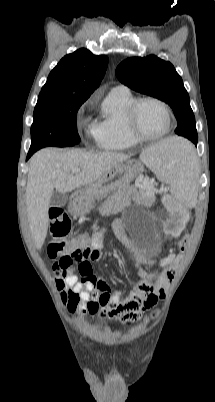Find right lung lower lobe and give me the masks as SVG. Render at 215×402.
I'll use <instances>...</instances> for the list:
<instances>
[{"mask_svg":"<svg viewBox=\"0 0 215 402\" xmlns=\"http://www.w3.org/2000/svg\"><path fill=\"white\" fill-rule=\"evenodd\" d=\"M32 154H33V153L28 152L27 159H28Z\"/></svg>","mask_w":215,"mask_h":402,"instance_id":"right-lung-lower-lobe-1","label":"right lung lower lobe"}]
</instances>
